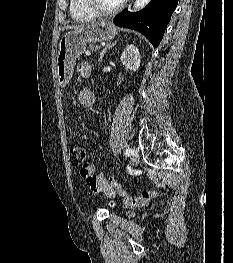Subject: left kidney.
Wrapping results in <instances>:
<instances>
[{"instance_id":"left-kidney-1","label":"left kidney","mask_w":233,"mask_h":263,"mask_svg":"<svg viewBox=\"0 0 233 263\" xmlns=\"http://www.w3.org/2000/svg\"><path fill=\"white\" fill-rule=\"evenodd\" d=\"M120 59H121L122 64L127 69H130L134 72L138 70L140 66V62H141L139 50L133 44L128 45L124 49Z\"/></svg>"}]
</instances>
